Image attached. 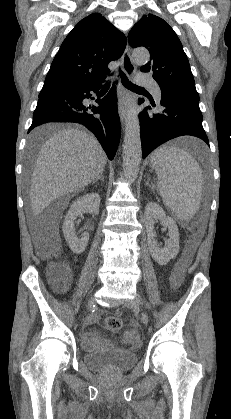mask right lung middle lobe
Listing matches in <instances>:
<instances>
[{"instance_id": "obj_1", "label": "right lung middle lobe", "mask_w": 231, "mask_h": 419, "mask_svg": "<svg viewBox=\"0 0 231 419\" xmlns=\"http://www.w3.org/2000/svg\"><path fill=\"white\" fill-rule=\"evenodd\" d=\"M73 88H69V87H64V86H48V87H43L40 94H39V99L49 96V95H53V94H58V93H63V92H68L70 90H72ZM39 140V139H38ZM38 140H33L32 141V146L35 145V143H37Z\"/></svg>"}]
</instances>
